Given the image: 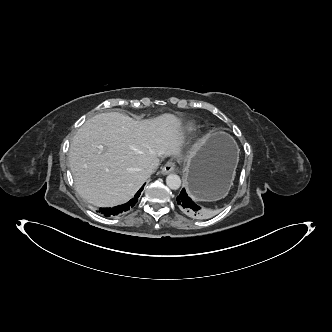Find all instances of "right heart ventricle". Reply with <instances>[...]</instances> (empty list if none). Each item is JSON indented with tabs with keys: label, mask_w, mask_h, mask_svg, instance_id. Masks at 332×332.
<instances>
[{
	"label": "right heart ventricle",
	"mask_w": 332,
	"mask_h": 332,
	"mask_svg": "<svg viewBox=\"0 0 332 332\" xmlns=\"http://www.w3.org/2000/svg\"><path fill=\"white\" fill-rule=\"evenodd\" d=\"M194 127H195V125H194L193 123H189V124L187 125V129H188L189 131H192V130L194 129Z\"/></svg>",
	"instance_id": "obj_1"
}]
</instances>
